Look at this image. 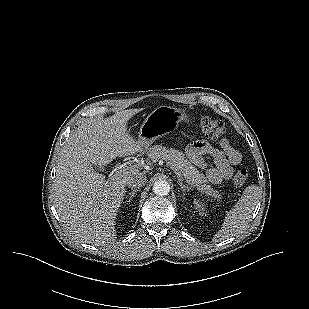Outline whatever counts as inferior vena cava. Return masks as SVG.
<instances>
[{"label":"inferior vena cava","mask_w":309,"mask_h":309,"mask_svg":"<svg viewBox=\"0 0 309 309\" xmlns=\"http://www.w3.org/2000/svg\"><path fill=\"white\" fill-rule=\"evenodd\" d=\"M147 182V177L141 172H134L126 178V185L131 188H141Z\"/></svg>","instance_id":"obj_1"}]
</instances>
